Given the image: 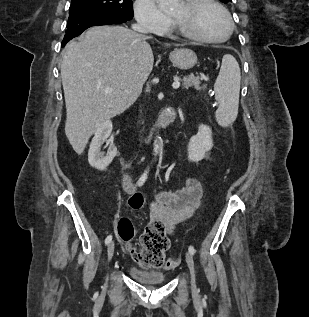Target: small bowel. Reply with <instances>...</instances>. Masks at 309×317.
I'll return each instance as SVG.
<instances>
[{
	"instance_id": "obj_1",
	"label": "small bowel",
	"mask_w": 309,
	"mask_h": 317,
	"mask_svg": "<svg viewBox=\"0 0 309 317\" xmlns=\"http://www.w3.org/2000/svg\"><path fill=\"white\" fill-rule=\"evenodd\" d=\"M125 169H128V165ZM123 187L127 194L134 193V184L127 173L123 176ZM202 195V186L195 178L188 179L181 190H159L151 204L152 218L160 221L172 233L179 222L188 219L199 207Z\"/></svg>"
}]
</instances>
